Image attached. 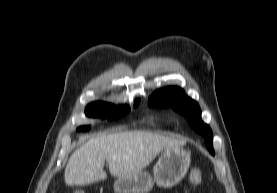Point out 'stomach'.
<instances>
[{
  "label": "stomach",
  "instance_id": "0dacf381",
  "mask_svg": "<svg viewBox=\"0 0 277 193\" xmlns=\"http://www.w3.org/2000/svg\"><path fill=\"white\" fill-rule=\"evenodd\" d=\"M190 161V153L184 148H166L153 167V178L143 170L127 177H118L114 190L116 193H148L154 183L163 188L173 187L186 175Z\"/></svg>",
  "mask_w": 277,
  "mask_h": 193
}]
</instances>
